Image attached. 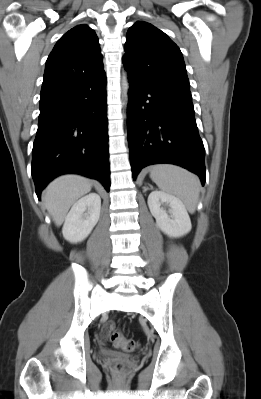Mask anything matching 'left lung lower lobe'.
<instances>
[{
    "label": "left lung lower lobe",
    "mask_w": 261,
    "mask_h": 399,
    "mask_svg": "<svg viewBox=\"0 0 261 399\" xmlns=\"http://www.w3.org/2000/svg\"><path fill=\"white\" fill-rule=\"evenodd\" d=\"M128 144L133 179L148 165L171 163L205 183L204 146L190 90L148 83L129 72Z\"/></svg>",
    "instance_id": "0a47b994"
}]
</instances>
